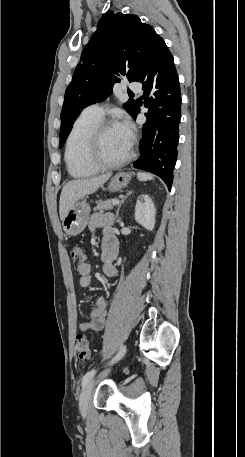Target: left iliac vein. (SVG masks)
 Listing matches in <instances>:
<instances>
[{
  "instance_id": "obj_1",
  "label": "left iliac vein",
  "mask_w": 245,
  "mask_h": 457,
  "mask_svg": "<svg viewBox=\"0 0 245 457\" xmlns=\"http://www.w3.org/2000/svg\"><path fill=\"white\" fill-rule=\"evenodd\" d=\"M93 386H94V382L90 381L86 385L85 390L80 395L79 409L83 415H86L88 412L89 402L93 395Z\"/></svg>"
}]
</instances>
